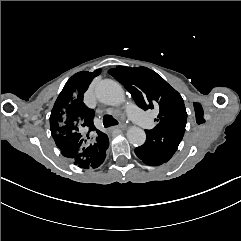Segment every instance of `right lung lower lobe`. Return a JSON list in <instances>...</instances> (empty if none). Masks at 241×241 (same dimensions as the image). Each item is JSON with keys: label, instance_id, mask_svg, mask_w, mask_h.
I'll return each mask as SVG.
<instances>
[{"label": "right lung lower lobe", "instance_id": "obj_1", "mask_svg": "<svg viewBox=\"0 0 241 241\" xmlns=\"http://www.w3.org/2000/svg\"><path fill=\"white\" fill-rule=\"evenodd\" d=\"M94 146L95 148L91 150L82 151V156L78 158V160H82V162H78V160L72 162L84 169L99 167L104 162L106 157V150L109 146L108 137L106 136L102 141L96 142Z\"/></svg>", "mask_w": 241, "mask_h": 241}]
</instances>
